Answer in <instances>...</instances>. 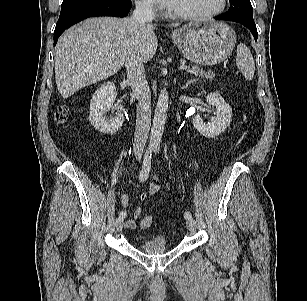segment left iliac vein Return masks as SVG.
Segmentation results:
<instances>
[{"label":"left iliac vein","instance_id":"1","mask_svg":"<svg viewBox=\"0 0 307 301\" xmlns=\"http://www.w3.org/2000/svg\"><path fill=\"white\" fill-rule=\"evenodd\" d=\"M186 226H187L188 230L191 231V232H193L195 230V222H194L193 218L187 219Z\"/></svg>","mask_w":307,"mask_h":301}]
</instances>
